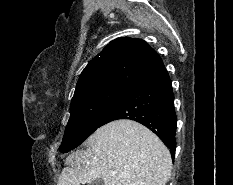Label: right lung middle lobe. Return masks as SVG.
<instances>
[{"label":"right lung middle lobe","instance_id":"right-lung-middle-lobe-1","mask_svg":"<svg viewBox=\"0 0 233 185\" xmlns=\"http://www.w3.org/2000/svg\"><path fill=\"white\" fill-rule=\"evenodd\" d=\"M129 89L109 87L89 91L72 98L70 119L65 129L60 152L79 146L102 120L129 93Z\"/></svg>","mask_w":233,"mask_h":185}]
</instances>
